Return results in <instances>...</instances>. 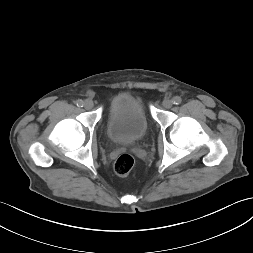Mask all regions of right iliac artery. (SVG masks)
<instances>
[{
    "label": "right iliac artery",
    "mask_w": 253,
    "mask_h": 253,
    "mask_svg": "<svg viewBox=\"0 0 253 253\" xmlns=\"http://www.w3.org/2000/svg\"><path fill=\"white\" fill-rule=\"evenodd\" d=\"M76 105H77L78 107H83L84 102H83L82 100H77V101H76Z\"/></svg>",
    "instance_id": "1"
}]
</instances>
